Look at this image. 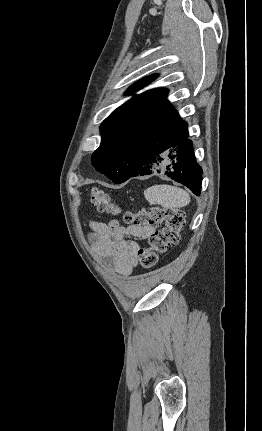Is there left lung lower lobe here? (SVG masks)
<instances>
[{
	"label": "left lung lower lobe",
	"mask_w": 262,
	"mask_h": 431,
	"mask_svg": "<svg viewBox=\"0 0 262 431\" xmlns=\"http://www.w3.org/2000/svg\"><path fill=\"white\" fill-rule=\"evenodd\" d=\"M132 168L129 178L163 173L194 194L200 193L202 168L196 162L192 141L188 140L187 125L165 136L151 151L136 153Z\"/></svg>",
	"instance_id": "0a47b994"
}]
</instances>
